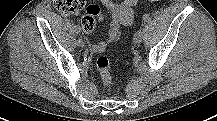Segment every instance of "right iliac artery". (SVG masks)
<instances>
[{
	"label": "right iliac artery",
	"mask_w": 217,
	"mask_h": 121,
	"mask_svg": "<svg viewBox=\"0 0 217 121\" xmlns=\"http://www.w3.org/2000/svg\"><path fill=\"white\" fill-rule=\"evenodd\" d=\"M74 32H75L76 34H79V35H80V33H81V28H80L79 26H74Z\"/></svg>",
	"instance_id": "1"
}]
</instances>
